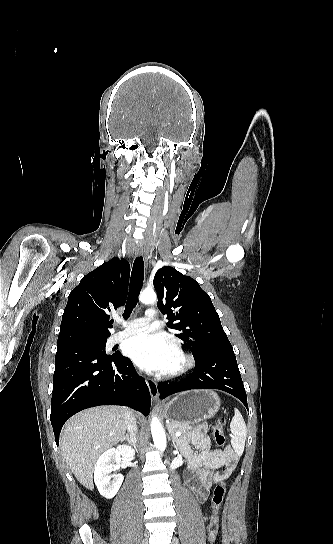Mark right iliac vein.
Here are the masks:
<instances>
[{"label": "right iliac vein", "mask_w": 333, "mask_h": 544, "mask_svg": "<svg viewBox=\"0 0 333 544\" xmlns=\"http://www.w3.org/2000/svg\"><path fill=\"white\" fill-rule=\"evenodd\" d=\"M141 544H148V540H147V538H146V539H144V540L142 541V543H141Z\"/></svg>", "instance_id": "obj_1"}]
</instances>
